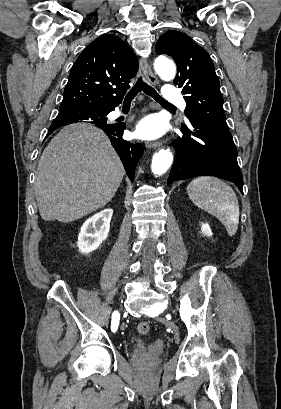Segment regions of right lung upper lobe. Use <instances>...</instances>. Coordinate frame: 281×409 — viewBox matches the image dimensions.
<instances>
[{"instance_id":"1","label":"right lung upper lobe","mask_w":281,"mask_h":409,"mask_svg":"<svg viewBox=\"0 0 281 409\" xmlns=\"http://www.w3.org/2000/svg\"><path fill=\"white\" fill-rule=\"evenodd\" d=\"M137 69V57L123 40L110 34L96 38L75 61L60 109L115 108Z\"/></svg>"}]
</instances>
